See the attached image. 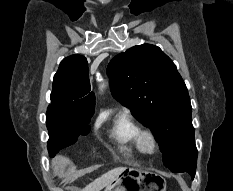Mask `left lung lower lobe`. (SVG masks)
<instances>
[{"mask_svg":"<svg viewBox=\"0 0 233 191\" xmlns=\"http://www.w3.org/2000/svg\"><path fill=\"white\" fill-rule=\"evenodd\" d=\"M195 169H196V165L189 164V165L182 166L178 169H174L172 170V172H188L191 175V178L194 179Z\"/></svg>","mask_w":233,"mask_h":191,"instance_id":"1","label":"left lung lower lobe"}]
</instances>
